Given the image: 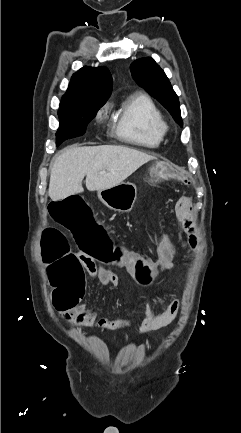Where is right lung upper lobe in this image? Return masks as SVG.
<instances>
[{
    "instance_id": "1",
    "label": "right lung upper lobe",
    "mask_w": 241,
    "mask_h": 433,
    "mask_svg": "<svg viewBox=\"0 0 241 433\" xmlns=\"http://www.w3.org/2000/svg\"><path fill=\"white\" fill-rule=\"evenodd\" d=\"M112 91V77L106 67H83L72 76L61 103L106 102Z\"/></svg>"
}]
</instances>
